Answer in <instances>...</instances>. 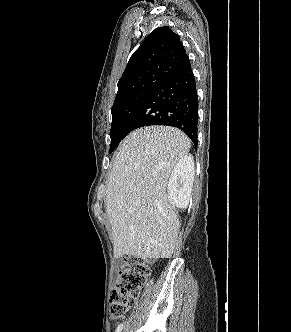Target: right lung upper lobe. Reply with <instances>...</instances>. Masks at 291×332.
Segmentation results:
<instances>
[{"label":"right lung upper lobe","mask_w":291,"mask_h":332,"mask_svg":"<svg viewBox=\"0 0 291 332\" xmlns=\"http://www.w3.org/2000/svg\"><path fill=\"white\" fill-rule=\"evenodd\" d=\"M190 65L179 36L168 26L152 31L131 56L115 100L148 89Z\"/></svg>","instance_id":"cb5924a9"}]
</instances>
